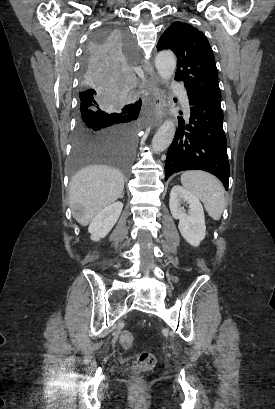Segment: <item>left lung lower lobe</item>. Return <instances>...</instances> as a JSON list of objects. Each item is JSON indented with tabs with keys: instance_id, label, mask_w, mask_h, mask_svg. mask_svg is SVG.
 Wrapping results in <instances>:
<instances>
[{
	"instance_id": "1",
	"label": "left lung lower lobe",
	"mask_w": 275,
	"mask_h": 409,
	"mask_svg": "<svg viewBox=\"0 0 275 409\" xmlns=\"http://www.w3.org/2000/svg\"><path fill=\"white\" fill-rule=\"evenodd\" d=\"M187 95L190 125L185 127L179 120L167 153L165 181L179 171L204 170L217 176L227 190L230 172L221 101L192 92Z\"/></svg>"
}]
</instances>
